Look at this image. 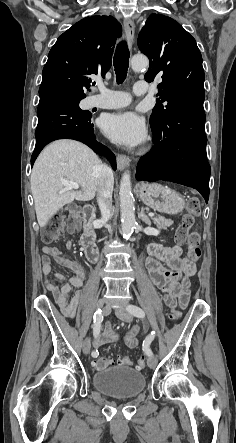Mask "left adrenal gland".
<instances>
[{
  "mask_svg": "<svg viewBox=\"0 0 236 443\" xmlns=\"http://www.w3.org/2000/svg\"><path fill=\"white\" fill-rule=\"evenodd\" d=\"M138 218L141 219L145 224L151 226V221L149 217L145 214L144 209H141V212L138 214Z\"/></svg>",
  "mask_w": 236,
  "mask_h": 443,
  "instance_id": "left-adrenal-gland-1",
  "label": "left adrenal gland"
}]
</instances>
